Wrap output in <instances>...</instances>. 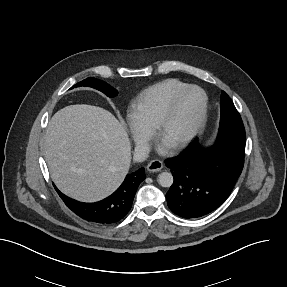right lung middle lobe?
Wrapping results in <instances>:
<instances>
[{
  "label": "right lung middle lobe",
  "mask_w": 287,
  "mask_h": 287,
  "mask_svg": "<svg viewBox=\"0 0 287 287\" xmlns=\"http://www.w3.org/2000/svg\"><path fill=\"white\" fill-rule=\"evenodd\" d=\"M80 86H89V87L95 88L103 92L108 97H115L118 94V91L114 89L112 86L96 78H87L77 83L72 88L80 87Z\"/></svg>",
  "instance_id": "dd1d6c3e"
}]
</instances>
